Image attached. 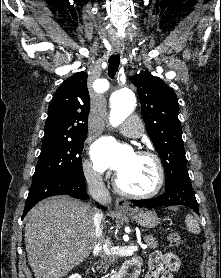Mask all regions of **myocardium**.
<instances>
[{"label": "myocardium", "mask_w": 221, "mask_h": 278, "mask_svg": "<svg viewBox=\"0 0 221 278\" xmlns=\"http://www.w3.org/2000/svg\"><path fill=\"white\" fill-rule=\"evenodd\" d=\"M135 154L149 157L154 161L157 167V174H158L157 183L155 187L152 190L147 192H134V191L127 190L124 187H122V185L120 184L118 174L115 175V177L113 178V186L120 194L126 197L142 198V199L155 197L161 192L165 184V168L162 163V160L157 154L147 149H138L137 151H135Z\"/></svg>", "instance_id": "1"}]
</instances>
